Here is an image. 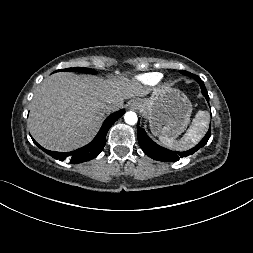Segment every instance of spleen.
<instances>
[{"instance_id":"1","label":"spleen","mask_w":253,"mask_h":253,"mask_svg":"<svg viewBox=\"0 0 253 253\" xmlns=\"http://www.w3.org/2000/svg\"><path fill=\"white\" fill-rule=\"evenodd\" d=\"M209 124V113L199 111L185 135L180 139L159 136L161 144L169 149L185 151L194 147L205 135Z\"/></svg>"}]
</instances>
